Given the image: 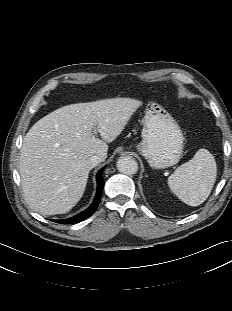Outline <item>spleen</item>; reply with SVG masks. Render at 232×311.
Instances as JSON below:
<instances>
[{
    "instance_id": "1",
    "label": "spleen",
    "mask_w": 232,
    "mask_h": 311,
    "mask_svg": "<svg viewBox=\"0 0 232 311\" xmlns=\"http://www.w3.org/2000/svg\"><path fill=\"white\" fill-rule=\"evenodd\" d=\"M217 176L214 156L199 149L194 157L180 165L168 178L171 191L190 206L202 204L210 195Z\"/></svg>"
}]
</instances>
